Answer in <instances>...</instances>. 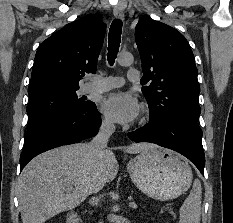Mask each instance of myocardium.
<instances>
[{"instance_id":"f54148a6","label":"myocardium","mask_w":233,"mask_h":223,"mask_svg":"<svg viewBox=\"0 0 233 223\" xmlns=\"http://www.w3.org/2000/svg\"><path fill=\"white\" fill-rule=\"evenodd\" d=\"M151 118H152V116H151L150 112L149 111H145L142 114V116H141V118H140V120L138 122V126H140V127L147 126L150 123Z\"/></svg>"}]
</instances>
